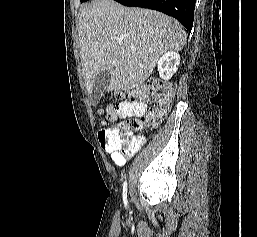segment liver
I'll return each mask as SVG.
<instances>
[{
  "label": "liver",
  "instance_id": "liver-1",
  "mask_svg": "<svg viewBox=\"0 0 257 237\" xmlns=\"http://www.w3.org/2000/svg\"><path fill=\"white\" fill-rule=\"evenodd\" d=\"M78 39L91 96L97 75L105 70L111 74L107 92L141 87L164 53L184 47L186 32L160 12L96 0L81 12Z\"/></svg>",
  "mask_w": 257,
  "mask_h": 237
}]
</instances>
